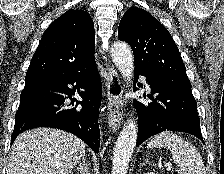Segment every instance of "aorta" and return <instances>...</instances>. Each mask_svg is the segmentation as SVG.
<instances>
[{
    "label": "aorta",
    "mask_w": 224,
    "mask_h": 174,
    "mask_svg": "<svg viewBox=\"0 0 224 174\" xmlns=\"http://www.w3.org/2000/svg\"><path fill=\"white\" fill-rule=\"evenodd\" d=\"M111 56L121 75L131 82L134 58L130 47L124 42H116L111 48ZM137 141V125L128 120L115 144L112 161V174H126Z\"/></svg>",
    "instance_id": "aorta-1"
}]
</instances>
